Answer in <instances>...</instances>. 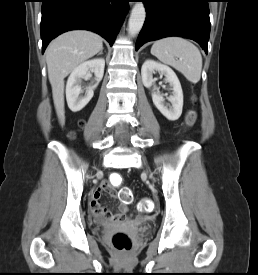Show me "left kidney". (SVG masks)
Listing matches in <instances>:
<instances>
[{
    "label": "left kidney",
    "mask_w": 258,
    "mask_h": 275,
    "mask_svg": "<svg viewBox=\"0 0 258 275\" xmlns=\"http://www.w3.org/2000/svg\"><path fill=\"white\" fill-rule=\"evenodd\" d=\"M158 71L165 76L166 82L172 87V95L169 101L172 106L164 103L163 96L158 92L154 85L153 74ZM142 82L145 87L151 88L153 86L152 100L157 109L170 121L177 120L182 114L183 108V92L180 81L175 72L167 65L158 63L153 60H146L141 68Z\"/></svg>",
    "instance_id": "1"
}]
</instances>
